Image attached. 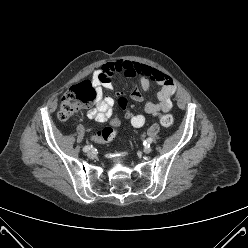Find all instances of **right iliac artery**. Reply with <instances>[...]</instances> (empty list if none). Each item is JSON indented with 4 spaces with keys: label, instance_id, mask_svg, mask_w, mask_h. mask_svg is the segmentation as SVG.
<instances>
[{
    "label": "right iliac artery",
    "instance_id": "obj_1",
    "mask_svg": "<svg viewBox=\"0 0 248 248\" xmlns=\"http://www.w3.org/2000/svg\"><path fill=\"white\" fill-rule=\"evenodd\" d=\"M91 146L87 145L83 148L84 152H88L90 150Z\"/></svg>",
    "mask_w": 248,
    "mask_h": 248
}]
</instances>
